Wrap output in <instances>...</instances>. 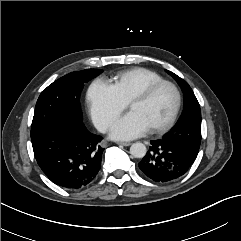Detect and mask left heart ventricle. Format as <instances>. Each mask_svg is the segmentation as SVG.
Listing matches in <instances>:
<instances>
[{
    "instance_id": "left-heart-ventricle-1",
    "label": "left heart ventricle",
    "mask_w": 241,
    "mask_h": 241,
    "mask_svg": "<svg viewBox=\"0 0 241 241\" xmlns=\"http://www.w3.org/2000/svg\"><path fill=\"white\" fill-rule=\"evenodd\" d=\"M174 91L164 86L159 88L148 100L134 102L130 109L137 112L150 126L162 125L170 118L175 107Z\"/></svg>"
}]
</instances>
